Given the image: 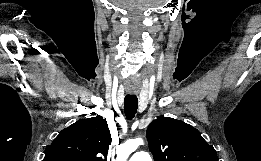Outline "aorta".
<instances>
[{
  "label": "aorta",
  "instance_id": "obj_1",
  "mask_svg": "<svg viewBox=\"0 0 261 161\" xmlns=\"http://www.w3.org/2000/svg\"><path fill=\"white\" fill-rule=\"evenodd\" d=\"M143 144L141 138L130 139L126 141L123 145L117 148V161H126L130 154L134 152L139 145Z\"/></svg>",
  "mask_w": 261,
  "mask_h": 161
}]
</instances>
